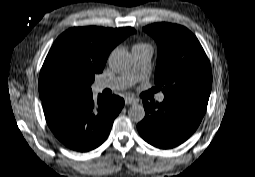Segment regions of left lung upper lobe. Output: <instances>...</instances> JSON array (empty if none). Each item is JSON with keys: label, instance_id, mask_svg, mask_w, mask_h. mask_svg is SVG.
I'll list each match as a JSON object with an SVG mask.
<instances>
[{"label": "left lung upper lobe", "instance_id": "obj_1", "mask_svg": "<svg viewBox=\"0 0 255 177\" xmlns=\"http://www.w3.org/2000/svg\"><path fill=\"white\" fill-rule=\"evenodd\" d=\"M158 45L154 81L167 99H209L212 72L195 35L187 28L156 23L143 28Z\"/></svg>", "mask_w": 255, "mask_h": 177}]
</instances>
